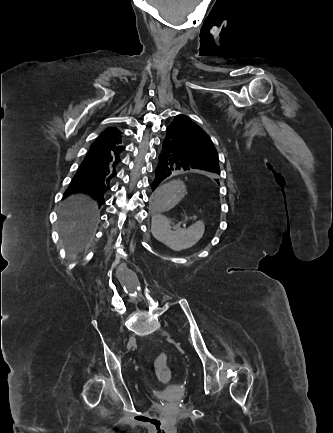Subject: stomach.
I'll return each instance as SVG.
<instances>
[{
  "label": "stomach",
  "mask_w": 333,
  "mask_h": 433,
  "mask_svg": "<svg viewBox=\"0 0 333 433\" xmlns=\"http://www.w3.org/2000/svg\"><path fill=\"white\" fill-rule=\"evenodd\" d=\"M185 186L175 180L171 183H161L154 192V201H149L148 208L152 215H168L170 210H175L176 204L183 198Z\"/></svg>",
  "instance_id": "stomach-1"
}]
</instances>
